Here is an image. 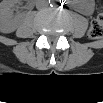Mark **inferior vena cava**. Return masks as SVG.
<instances>
[{"instance_id":"obj_1","label":"inferior vena cava","mask_w":103,"mask_h":103,"mask_svg":"<svg viewBox=\"0 0 103 103\" xmlns=\"http://www.w3.org/2000/svg\"><path fill=\"white\" fill-rule=\"evenodd\" d=\"M49 3L46 0H39L36 3V8L39 10L46 9Z\"/></svg>"}]
</instances>
